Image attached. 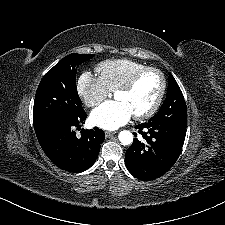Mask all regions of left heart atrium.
I'll return each mask as SVG.
<instances>
[{
	"label": "left heart atrium",
	"instance_id": "left-heart-atrium-1",
	"mask_svg": "<svg viewBox=\"0 0 225 225\" xmlns=\"http://www.w3.org/2000/svg\"><path fill=\"white\" fill-rule=\"evenodd\" d=\"M132 113L119 101L106 102L96 108L91 114L94 125L106 130H115L129 122Z\"/></svg>",
	"mask_w": 225,
	"mask_h": 225
}]
</instances>
